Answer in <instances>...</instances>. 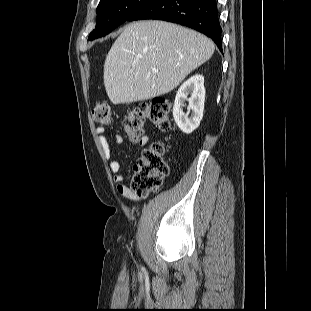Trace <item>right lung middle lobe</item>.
<instances>
[{"mask_svg":"<svg viewBox=\"0 0 311 311\" xmlns=\"http://www.w3.org/2000/svg\"><path fill=\"white\" fill-rule=\"evenodd\" d=\"M152 1L154 0H101L97 7L96 28L90 33L89 40L110 33Z\"/></svg>","mask_w":311,"mask_h":311,"instance_id":"right-lung-middle-lobe-1","label":"right lung middle lobe"}]
</instances>
